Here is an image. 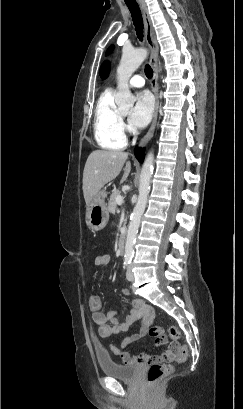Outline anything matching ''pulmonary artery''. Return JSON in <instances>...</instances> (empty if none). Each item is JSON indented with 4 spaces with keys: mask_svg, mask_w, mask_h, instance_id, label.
I'll return each mask as SVG.
<instances>
[{
    "mask_svg": "<svg viewBox=\"0 0 243 409\" xmlns=\"http://www.w3.org/2000/svg\"><path fill=\"white\" fill-rule=\"evenodd\" d=\"M144 78L141 75H133L130 80H129V84L132 87H137L140 88L144 85Z\"/></svg>",
    "mask_w": 243,
    "mask_h": 409,
    "instance_id": "pulmonary-artery-1",
    "label": "pulmonary artery"
}]
</instances>
